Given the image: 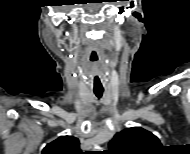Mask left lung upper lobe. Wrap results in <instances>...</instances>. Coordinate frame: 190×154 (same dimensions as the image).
<instances>
[{"mask_svg":"<svg viewBox=\"0 0 190 154\" xmlns=\"http://www.w3.org/2000/svg\"><path fill=\"white\" fill-rule=\"evenodd\" d=\"M162 145L151 132L141 128H126L117 133L109 142L108 154H153Z\"/></svg>","mask_w":190,"mask_h":154,"instance_id":"obj_1","label":"left lung upper lobe"}]
</instances>
